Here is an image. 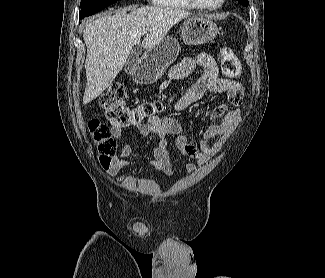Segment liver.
<instances>
[{
	"instance_id": "1",
	"label": "liver",
	"mask_w": 325,
	"mask_h": 278,
	"mask_svg": "<svg viewBox=\"0 0 325 278\" xmlns=\"http://www.w3.org/2000/svg\"><path fill=\"white\" fill-rule=\"evenodd\" d=\"M129 10L131 12L127 13ZM188 17L191 13L179 8L128 7L87 24L83 30L87 47L83 104L97 98L112 84L134 45H141L146 50L153 48L176 23ZM143 29H148V34L140 44Z\"/></svg>"
}]
</instances>
